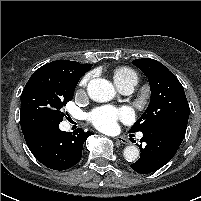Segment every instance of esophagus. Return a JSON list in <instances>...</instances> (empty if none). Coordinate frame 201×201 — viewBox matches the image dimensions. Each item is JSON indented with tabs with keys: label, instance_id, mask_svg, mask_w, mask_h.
Wrapping results in <instances>:
<instances>
[{
	"label": "esophagus",
	"instance_id": "34e87169",
	"mask_svg": "<svg viewBox=\"0 0 201 201\" xmlns=\"http://www.w3.org/2000/svg\"><path fill=\"white\" fill-rule=\"evenodd\" d=\"M114 139L119 143L128 144V141L125 138L121 137V136L115 137Z\"/></svg>",
	"mask_w": 201,
	"mask_h": 201
}]
</instances>
